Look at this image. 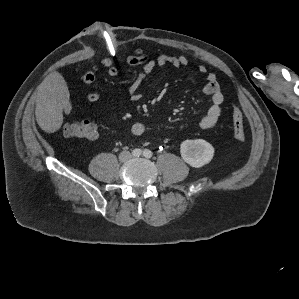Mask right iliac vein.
<instances>
[{"label":"right iliac vein","mask_w":299,"mask_h":299,"mask_svg":"<svg viewBox=\"0 0 299 299\" xmlns=\"http://www.w3.org/2000/svg\"><path fill=\"white\" fill-rule=\"evenodd\" d=\"M130 158V154L128 152H123L121 155H120V160L122 161H125L127 159Z\"/></svg>","instance_id":"right-iliac-vein-1"}]
</instances>
